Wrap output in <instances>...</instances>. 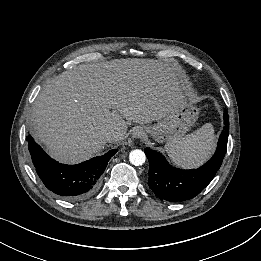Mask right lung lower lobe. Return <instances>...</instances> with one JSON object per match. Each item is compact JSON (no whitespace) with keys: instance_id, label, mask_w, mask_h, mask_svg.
Instances as JSON below:
<instances>
[{"instance_id":"1","label":"right lung lower lobe","mask_w":261,"mask_h":261,"mask_svg":"<svg viewBox=\"0 0 261 261\" xmlns=\"http://www.w3.org/2000/svg\"><path fill=\"white\" fill-rule=\"evenodd\" d=\"M28 142L32 162L43 184L70 201L87 198L96 191L108 161L117 152L114 149L77 165H65L50 158L30 135Z\"/></svg>"}]
</instances>
